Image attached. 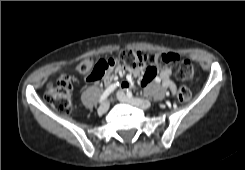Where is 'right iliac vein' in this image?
I'll return each instance as SVG.
<instances>
[{
	"instance_id": "obj_1",
	"label": "right iliac vein",
	"mask_w": 245,
	"mask_h": 170,
	"mask_svg": "<svg viewBox=\"0 0 245 170\" xmlns=\"http://www.w3.org/2000/svg\"><path fill=\"white\" fill-rule=\"evenodd\" d=\"M109 101H105L104 103H102L98 109V113L99 114H103L105 113L108 109H109Z\"/></svg>"
}]
</instances>
